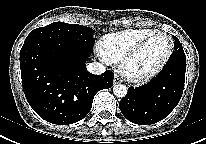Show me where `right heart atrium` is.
<instances>
[{
  "instance_id": "right-heart-atrium-1",
  "label": "right heart atrium",
  "mask_w": 206,
  "mask_h": 144,
  "mask_svg": "<svg viewBox=\"0 0 206 144\" xmlns=\"http://www.w3.org/2000/svg\"><path fill=\"white\" fill-rule=\"evenodd\" d=\"M97 52H98V55L101 57V59L105 62H110L108 60V58L104 55V53L102 52L101 50V47L99 46L98 49H97Z\"/></svg>"
}]
</instances>
